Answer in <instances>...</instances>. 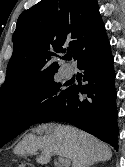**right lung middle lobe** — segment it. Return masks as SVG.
<instances>
[{
	"label": "right lung middle lobe",
	"mask_w": 125,
	"mask_h": 167,
	"mask_svg": "<svg viewBox=\"0 0 125 167\" xmlns=\"http://www.w3.org/2000/svg\"><path fill=\"white\" fill-rule=\"evenodd\" d=\"M54 77L18 96L0 100V147L28 129L54 103L69 93Z\"/></svg>",
	"instance_id": "obj_1"
}]
</instances>
